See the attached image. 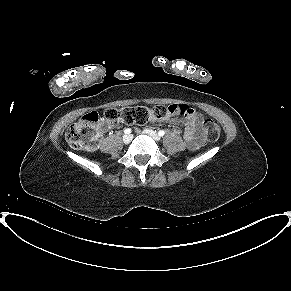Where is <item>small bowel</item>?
I'll return each mask as SVG.
<instances>
[{
    "label": "small bowel",
    "mask_w": 291,
    "mask_h": 291,
    "mask_svg": "<svg viewBox=\"0 0 291 291\" xmlns=\"http://www.w3.org/2000/svg\"><path fill=\"white\" fill-rule=\"evenodd\" d=\"M182 118H151L152 121H163L170 124L173 127L183 126L184 134L183 139L189 150H197L204 143V132L202 130L203 117L198 114L193 108L188 106L187 112L182 114Z\"/></svg>",
    "instance_id": "small-bowel-1"
}]
</instances>
